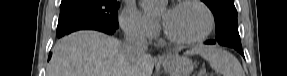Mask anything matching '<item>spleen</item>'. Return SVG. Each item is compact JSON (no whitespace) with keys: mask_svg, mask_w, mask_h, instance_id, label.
Segmentation results:
<instances>
[{"mask_svg":"<svg viewBox=\"0 0 287 76\" xmlns=\"http://www.w3.org/2000/svg\"><path fill=\"white\" fill-rule=\"evenodd\" d=\"M199 54L221 76H245L240 62L230 52L216 46L195 47L186 55Z\"/></svg>","mask_w":287,"mask_h":76,"instance_id":"spleen-1","label":"spleen"}]
</instances>
